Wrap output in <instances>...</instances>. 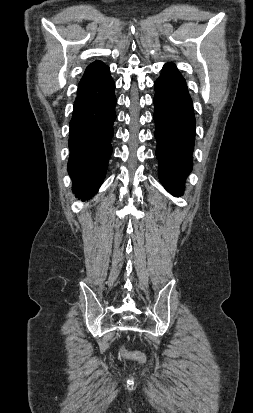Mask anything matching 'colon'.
<instances>
[{
	"instance_id": "5ec220e1",
	"label": "colon",
	"mask_w": 253,
	"mask_h": 413,
	"mask_svg": "<svg viewBox=\"0 0 253 413\" xmlns=\"http://www.w3.org/2000/svg\"><path fill=\"white\" fill-rule=\"evenodd\" d=\"M119 354L124 359L136 360L140 363L145 362V355L143 353H141V352H129L123 346L120 348Z\"/></svg>"
}]
</instances>
